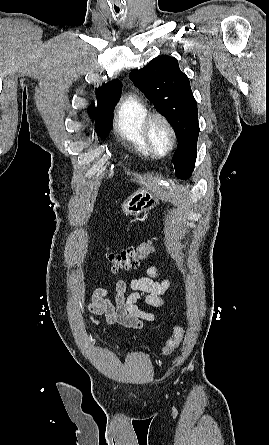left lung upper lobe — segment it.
<instances>
[{
  "instance_id": "obj_1",
  "label": "left lung upper lobe",
  "mask_w": 269,
  "mask_h": 445,
  "mask_svg": "<svg viewBox=\"0 0 269 445\" xmlns=\"http://www.w3.org/2000/svg\"><path fill=\"white\" fill-rule=\"evenodd\" d=\"M129 78L173 126L178 139L172 158L175 174L189 177L197 156L199 136L197 102L188 77L174 57L161 56L142 69L132 70Z\"/></svg>"
}]
</instances>
